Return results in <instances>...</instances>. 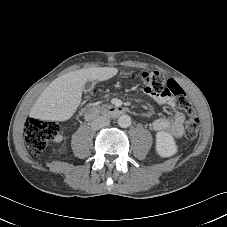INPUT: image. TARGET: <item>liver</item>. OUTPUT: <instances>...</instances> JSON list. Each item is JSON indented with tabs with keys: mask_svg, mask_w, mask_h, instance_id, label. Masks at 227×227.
I'll return each instance as SVG.
<instances>
[{
	"mask_svg": "<svg viewBox=\"0 0 227 227\" xmlns=\"http://www.w3.org/2000/svg\"><path fill=\"white\" fill-rule=\"evenodd\" d=\"M118 73L114 67H93L64 74L53 80L36 100L30 116L49 121L70 119L82 99L88 80L105 81Z\"/></svg>",
	"mask_w": 227,
	"mask_h": 227,
	"instance_id": "obj_1",
	"label": "liver"
}]
</instances>
